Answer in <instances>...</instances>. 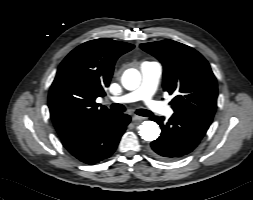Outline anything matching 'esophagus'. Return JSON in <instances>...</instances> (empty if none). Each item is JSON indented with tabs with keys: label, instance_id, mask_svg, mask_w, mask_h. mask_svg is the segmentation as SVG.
<instances>
[{
	"label": "esophagus",
	"instance_id": "esophagus-1",
	"mask_svg": "<svg viewBox=\"0 0 253 200\" xmlns=\"http://www.w3.org/2000/svg\"><path fill=\"white\" fill-rule=\"evenodd\" d=\"M144 119H145L144 117L137 116V115H134V116L132 117V121H133V122L142 121V120H144Z\"/></svg>",
	"mask_w": 253,
	"mask_h": 200
}]
</instances>
